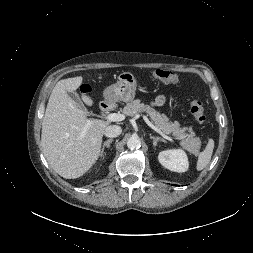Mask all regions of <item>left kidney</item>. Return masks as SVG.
I'll list each match as a JSON object with an SVG mask.
<instances>
[{
    "label": "left kidney",
    "instance_id": "1",
    "mask_svg": "<svg viewBox=\"0 0 253 253\" xmlns=\"http://www.w3.org/2000/svg\"><path fill=\"white\" fill-rule=\"evenodd\" d=\"M158 159L162 166L171 171L182 173L188 170V157L182 149L161 151Z\"/></svg>",
    "mask_w": 253,
    "mask_h": 253
}]
</instances>
